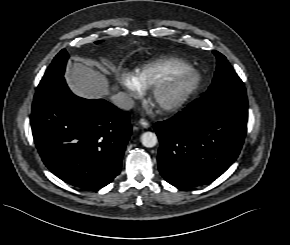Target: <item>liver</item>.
Here are the masks:
<instances>
[{
  "label": "liver",
  "mask_w": 290,
  "mask_h": 245,
  "mask_svg": "<svg viewBox=\"0 0 290 245\" xmlns=\"http://www.w3.org/2000/svg\"><path fill=\"white\" fill-rule=\"evenodd\" d=\"M65 79L72 91L83 98H102L110 92L106 76L88 64L72 63L66 71Z\"/></svg>",
  "instance_id": "6515ba94"
}]
</instances>
